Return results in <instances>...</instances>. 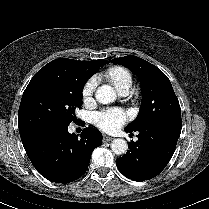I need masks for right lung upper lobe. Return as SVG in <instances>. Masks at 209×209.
I'll use <instances>...</instances> for the list:
<instances>
[{
  "label": "right lung upper lobe",
  "mask_w": 209,
  "mask_h": 209,
  "mask_svg": "<svg viewBox=\"0 0 209 209\" xmlns=\"http://www.w3.org/2000/svg\"><path fill=\"white\" fill-rule=\"evenodd\" d=\"M94 73H96L100 67L107 64L108 61L106 60H93V61H83ZM23 145L27 144L32 138H21Z\"/></svg>",
  "instance_id": "obj_1"
}]
</instances>
